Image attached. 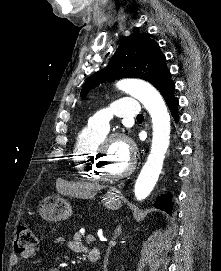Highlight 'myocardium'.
Returning a JSON list of instances; mask_svg holds the SVG:
<instances>
[{
	"mask_svg": "<svg viewBox=\"0 0 221 271\" xmlns=\"http://www.w3.org/2000/svg\"><path fill=\"white\" fill-rule=\"evenodd\" d=\"M113 142H124L127 145L128 149L132 151L130 145H134V140H129V133H113V137H109V140H104V145H98V150L101 155H106L109 150V145H113ZM112 147V146H111ZM104 158H97L96 162L99 167L97 171L100 174L101 178H111V179H127L128 175H131V172L137 169L136 166V157H129V167L127 170H122L121 173H109L108 165H105Z\"/></svg>",
	"mask_w": 221,
	"mask_h": 271,
	"instance_id": "1",
	"label": "myocardium"
}]
</instances>
